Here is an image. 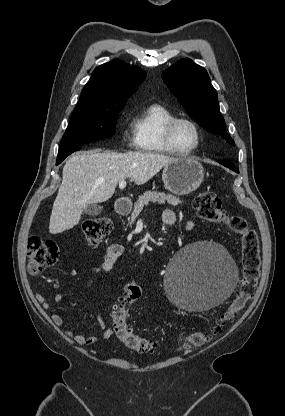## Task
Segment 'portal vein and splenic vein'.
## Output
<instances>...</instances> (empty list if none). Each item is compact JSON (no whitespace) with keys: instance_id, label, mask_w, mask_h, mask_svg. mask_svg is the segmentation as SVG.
I'll list each match as a JSON object with an SVG mask.
<instances>
[{"instance_id":"obj_1","label":"portal vein and splenic vein","mask_w":285,"mask_h":416,"mask_svg":"<svg viewBox=\"0 0 285 416\" xmlns=\"http://www.w3.org/2000/svg\"><path fill=\"white\" fill-rule=\"evenodd\" d=\"M125 186H126L125 180H121V182H119V188H120V190H124Z\"/></svg>"}]
</instances>
